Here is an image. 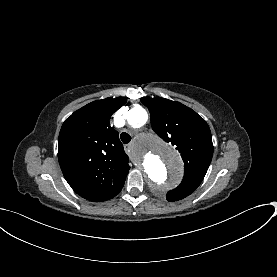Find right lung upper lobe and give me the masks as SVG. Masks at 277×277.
<instances>
[{
	"mask_svg": "<svg viewBox=\"0 0 277 277\" xmlns=\"http://www.w3.org/2000/svg\"><path fill=\"white\" fill-rule=\"evenodd\" d=\"M126 97L105 98L87 104L75 111L63 123L58 140V160L65 179L81 197L101 202L116 196L129 172V158L119 140V134L110 127L111 115L122 107ZM75 156L96 170L112 165L110 178H97L96 170L76 173L69 167Z\"/></svg>",
	"mask_w": 277,
	"mask_h": 277,
	"instance_id": "1",
	"label": "right lung upper lobe"
}]
</instances>
